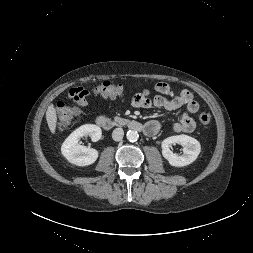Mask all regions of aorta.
Returning a JSON list of instances; mask_svg holds the SVG:
<instances>
[{
    "mask_svg": "<svg viewBox=\"0 0 253 253\" xmlns=\"http://www.w3.org/2000/svg\"><path fill=\"white\" fill-rule=\"evenodd\" d=\"M127 136V139L130 141V142H135L138 140L139 138V134L137 131H134V130H129L126 134Z\"/></svg>",
    "mask_w": 253,
    "mask_h": 253,
    "instance_id": "762f6f07",
    "label": "aorta"
}]
</instances>
